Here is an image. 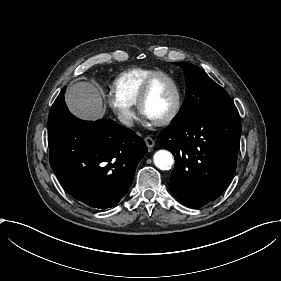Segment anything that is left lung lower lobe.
Masks as SVG:
<instances>
[{
    "label": "left lung lower lobe",
    "mask_w": 281,
    "mask_h": 281,
    "mask_svg": "<svg viewBox=\"0 0 281 281\" xmlns=\"http://www.w3.org/2000/svg\"><path fill=\"white\" fill-rule=\"evenodd\" d=\"M240 134L235 106L172 123L160 134V145L175 157L169 186L181 203L200 208L226 189L236 168Z\"/></svg>",
    "instance_id": "left-lung-lower-lobe-1"
}]
</instances>
